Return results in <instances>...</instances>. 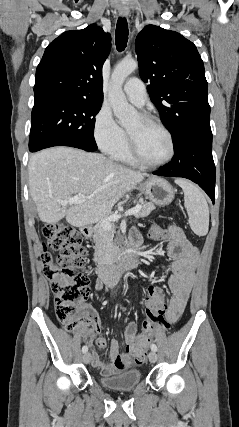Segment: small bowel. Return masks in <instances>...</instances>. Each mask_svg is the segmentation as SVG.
Wrapping results in <instances>:
<instances>
[{
    "instance_id": "1",
    "label": "small bowel",
    "mask_w": 239,
    "mask_h": 427,
    "mask_svg": "<svg viewBox=\"0 0 239 427\" xmlns=\"http://www.w3.org/2000/svg\"><path fill=\"white\" fill-rule=\"evenodd\" d=\"M151 229V228H150ZM170 237L168 254L173 259L172 274L168 279V286L172 297L165 308V318L169 324L176 323L181 317L194 281L195 269L198 261V251L186 238L183 230L172 225L166 231ZM131 241L141 246L142 238L139 232L132 231ZM96 290L103 289V281L98 279L95 284ZM166 303V301H165ZM88 315L92 321L95 333L101 332V323L97 313L88 309ZM137 337V326L135 322H129L124 332V340L128 347L134 345ZM106 340L98 337L95 345L99 349L106 347ZM110 362L102 360L97 353L91 355V363L98 368L103 375L110 376L127 369L131 363V355L127 352L121 353L116 339H111L109 348Z\"/></svg>"
}]
</instances>
